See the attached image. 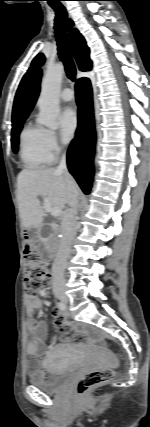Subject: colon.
I'll return each mask as SVG.
<instances>
[{
	"label": "colon",
	"mask_w": 150,
	"mask_h": 427,
	"mask_svg": "<svg viewBox=\"0 0 150 427\" xmlns=\"http://www.w3.org/2000/svg\"><path fill=\"white\" fill-rule=\"evenodd\" d=\"M25 291L30 296H36L51 283V272L41 257L33 250L31 244L25 246ZM112 369L104 368L92 371L83 376L77 383L78 395L84 396L92 389L113 379Z\"/></svg>",
	"instance_id": "5ec220e1"
}]
</instances>
